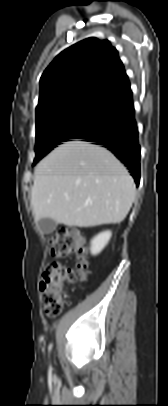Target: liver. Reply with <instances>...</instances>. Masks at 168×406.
Returning a JSON list of instances; mask_svg holds the SVG:
<instances>
[{"mask_svg":"<svg viewBox=\"0 0 168 406\" xmlns=\"http://www.w3.org/2000/svg\"><path fill=\"white\" fill-rule=\"evenodd\" d=\"M135 192L133 178L110 151L76 140L38 163L31 203L36 221L90 227L122 222Z\"/></svg>","mask_w":168,"mask_h":406,"instance_id":"obj_1","label":"liver"}]
</instances>
